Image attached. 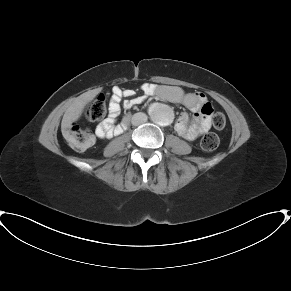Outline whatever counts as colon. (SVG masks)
Returning <instances> with one entry per match:
<instances>
[{"label":"colon","mask_w":291,"mask_h":291,"mask_svg":"<svg viewBox=\"0 0 291 291\" xmlns=\"http://www.w3.org/2000/svg\"><path fill=\"white\" fill-rule=\"evenodd\" d=\"M207 114L211 112L208 106L205 110ZM106 113L105 96L99 95L94 98L86 108V117L90 121H100ZM226 119L222 113H215L213 116V125L222 129L225 126ZM65 138L69 145L77 151H83L88 148L95 140V135L91 129L82 127L78 123H72L64 130ZM220 143L219 137L216 134H207L201 140V148L204 151L211 152L218 148Z\"/></svg>","instance_id":"5ec220e1"}]
</instances>
